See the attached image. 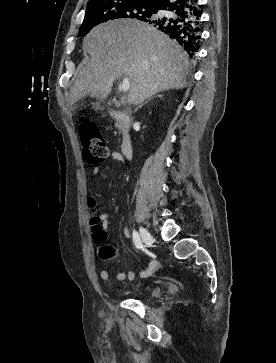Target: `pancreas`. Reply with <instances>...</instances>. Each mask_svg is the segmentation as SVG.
Here are the masks:
<instances>
[{"mask_svg":"<svg viewBox=\"0 0 276 363\" xmlns=\"http://www.w3.org/2000/svg\"><path fill=\"white\" fill-rule=\"evenodd\" d=\"M115 126H116V128H118V129H119V131H120V133H121V131H122V126H121V124H120V123H116V124H115Z\"/></svg>","mask_w":276,"mask_h":363,"instance_id":"obj_1","label":"pancreas"}]
</instances>
